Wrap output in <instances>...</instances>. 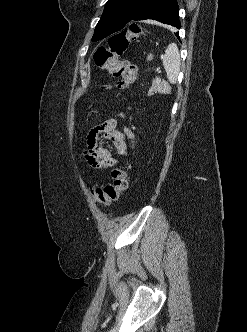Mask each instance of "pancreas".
<instances>
[{
  "label": "pancreas",
  "mask_w": 247,
  "mask_h": 332,
  "mask_svg": "<svg viewBox=\"0 0 247 332\" xmlns=\"http://www.w3.org/2000/svg\"><path fill=\"white\" fill-rule=\"evenodd\" d=\"M160 80L157 78L153 81L152 87L149 89L148 94L153 95V93L157 92V90L160 88Z\"/></svg>",
  "instance_id": "1"
}]
</instances>
